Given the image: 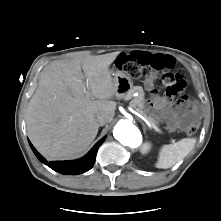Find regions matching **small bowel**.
<instances>
[{"mask_svg": "<svg viewBox=\"0 0 221 221\" xmlns=\"http://www.w3.org/2000/svg\"><path fill=\"white\" fill-rule=\"evenodd\" d=\"M138 52H141V51H134V52L125 53V54L128 55L130 58L135 59L136 54ZM144 53H147L149 55H154L148 52H144ZM146 86L152 92L151 94L152 107L155 110H157L159 112L160 117L167 122L168 127L171 131H175L178 128L180 121L184 119H190L197 113L195 109H191L186 112L185 116L182 119H178L180 106L173 102L172 96H161V95L156 94L153 91L152 79H148L146 81Z\"/></svg>", "mask_w": 221, "mask_h": 221, "instance_id": "1", "label": "small bowel"}]
</instances>
